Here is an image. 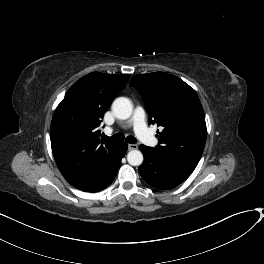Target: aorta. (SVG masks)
<instances>
[{"label": "aorta", "mask_w": 264, "mask_h": 264, "mask_svg": "<svg viewBox=\"0 0 264 264\" xmlns=\"http://www.w3.org/2000/svg\"><path fill=\"white\" fill-rule=\"evenodd\" d=\"M132 103L126 97H119L112 103V111L118 119H128L132 114ZM127 161L132 166H139L143 162V154L139 150H131L127 154Z\"/></svg>", "instance_id": "obj_1"}]
</instances>
